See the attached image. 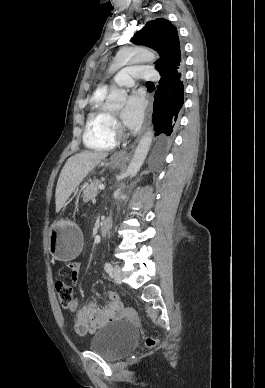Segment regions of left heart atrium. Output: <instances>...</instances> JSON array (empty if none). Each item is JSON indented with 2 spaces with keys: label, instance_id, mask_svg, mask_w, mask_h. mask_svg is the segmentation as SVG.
<instances>
[{
  "label": "left heart atrium",
  "instance_id": "left-heart-atrium-1",
  "mask_svg": "<svg viewBox=\"0 0 265 388\" xmlns=\"http://www.w3.org/2000/svg\"><path fill=\"white\" fill-rule=\"evenodd\" d=\"M126 104L122 113V120L129 127L137 126L143 116L144 103L140 94L132 93L125 99Z\"/></svg>",
  "mask_w": 265,
  "mask_h": 388
}]
</instances>
